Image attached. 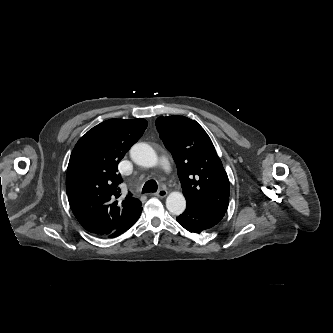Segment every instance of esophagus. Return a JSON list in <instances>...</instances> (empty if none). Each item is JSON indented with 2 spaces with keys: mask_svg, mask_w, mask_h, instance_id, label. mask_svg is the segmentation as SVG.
<instances>
[{
  "mask_svg": "<svg viewBox=\"0 0 333 333\" xmlns=\"http://www.w3.org/2000/svg\"><path fill=\"white\" fill-rule=\"evenodd\" d=\"M168 192L165 189H161L158 192L154 193L155 196L159 198H165L167 196Z\"/></svg>",
  "mask_w": 333,
  "mask_h": 333,
  "instance_id": "34e87169",
  "label": "esophagus"
}]
</instances>
